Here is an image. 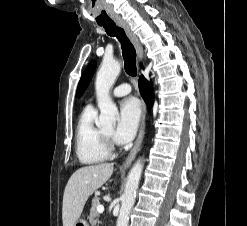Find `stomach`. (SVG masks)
<instances>
[{"label": "stomach", "instance_id": "obj_1", "mask_svg": "<svg viewBox=\"0 0 247 226\" xmlns=\"http://www.w3.org/2000/svg\"><path fill=\"white\" fill-rule=\"evenodd\" d=\"M74 226H89V225H88V223H87L86 220H84V219H78L75 222Z\"/></svg>", "mask_w": 247, "mask_h": 226}]
</instances>
